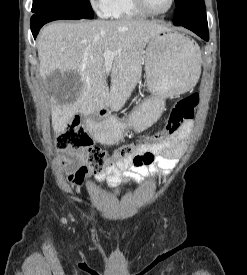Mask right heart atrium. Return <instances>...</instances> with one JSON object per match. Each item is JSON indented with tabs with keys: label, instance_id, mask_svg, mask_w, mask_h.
Returning a JSON list of instances; mask_svg holds the SVG:
<instances>
[{
	"label": "right heart atrium",
	"instance_id": "d8ad5b80",
	"mask_svg": "<svg viewBox=\"0 0 247 275\" xmlns=\"http://www.w3.org/2000/svg\"><path fill=\"white\" fill-rule=\"evenodd\" d=\"M90 4L99 16H109L112 0H90Z\"/></svg>",
	"mask_w": 247,
	"mask_h": 275
}]
</instances>
